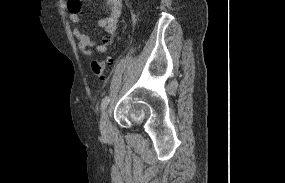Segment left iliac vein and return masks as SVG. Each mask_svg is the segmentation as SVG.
I'll return each instance as SVG.
<instances>
[{"label":"left iliac vein","instance_id":"obj_1","mask_svg":"<svg viewBox=\"0 0 285 183\" xmlns=\"http://www.w3.org/2000/svg\"><path fill=\"white\" fill-rule=\"evenodd\" d=\"M100 130L104 138H109L112 135V127L109 121L108 111H104L101 115Z\"/></svg>","mask_w":285,"mask_h":183}]
</instances>
